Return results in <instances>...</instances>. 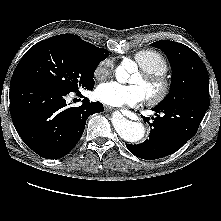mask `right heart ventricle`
Here are the masks:
<instances>
[{
	"label": "right heart ventricle",
	"mask_w": 221,
	"mask_h": 221,
	"mask_svg": "<svg viewBox=\"0 0 221 221\" xmlns=\"http://www.w3.org/2000/svg\"><path fill=\"white\" fill-rule=\"evenodd\" d=\"M134 60L142 70L153 73H165L168 70L166 59L155 50H140L135 53Z\"/></svg>",
	"instance_id": "1"
}]
</instances>
